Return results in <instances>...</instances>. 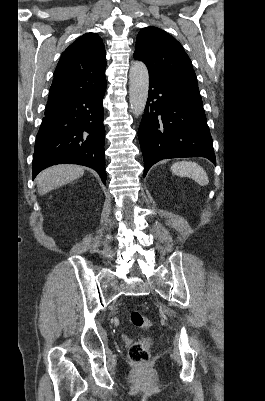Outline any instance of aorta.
<instances>
[{"label":"aorta","instance_id":"1","mask_svg":"<svg viewBox=\"0 0 265 401\" xmlns=\"http://www.w3.org/2000/svg\"><path fill=\"white\" fill-rule=\"evenodd\" d=\"M129 100L133 114H143L149 86L148 68L141 60H133L130 66Z\"/></svg>","mask_w":265,"mask_h":401}]
</instances>
